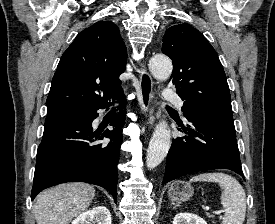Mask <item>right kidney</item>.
<instances>
[{
    "label": "right kidney",
    "instance_id": "obj_1",
    "mask_svg": "<svg viewBox=\"0 0 275 224\" xmlns=\"http://www.w3.org/2000/svg\"><path fill=\"white\" fill-rule=\"evenodd\" d=\"M111 224L110 211L104 206H98L81 213L71 224Z\"/></svg>",
    "mask_w": 275,
    "mask_h": 224
}]
</instances>
